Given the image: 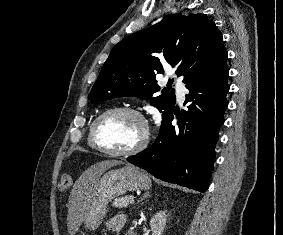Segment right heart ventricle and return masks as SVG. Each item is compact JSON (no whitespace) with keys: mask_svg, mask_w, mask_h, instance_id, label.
Returning <instances> with one entry per match:
<instances>
[{"mask_svg":"<svg viewBox=\"0 0 283 235\" xmlns=\"http://www.w3.org/2000/svg\"><path fill=\"white\" fill-rule=\"evenodd\" d=\"M88 144H89L91 147H93L92 144H91V141H90V130H89V134H88Z\"/></svg>","mask_w":283,"mask_h":235,"instance_id":"obj_1","label":"right heart ventricle"}]
</instances>
